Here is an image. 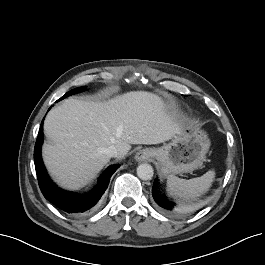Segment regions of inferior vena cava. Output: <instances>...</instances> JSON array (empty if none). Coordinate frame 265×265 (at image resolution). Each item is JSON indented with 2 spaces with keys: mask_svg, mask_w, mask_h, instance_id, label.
<instances>
[{
  "mask_svg": "<svg viewBox=\"0 0 265 265\" xmlns=\"http://www.w3.org/2000/svg\"><path fill=\"white\" fill-rule=\"evenodd\" d=\"M104 153L108 157H118L119 156V151H118V149L114 145H111V146L107 147L104 150Z\"/></svg>",
  "mask_w": 265,
  "mask_h": 265,
  "instance_id": "1",
  "label": "inferior vena cava"
}]
</instances>
